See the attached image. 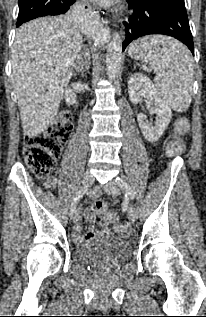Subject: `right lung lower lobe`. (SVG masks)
<instances>
[{
    "label": "right lung lower lobe",
    "instance_id": "98d812e1",
    "mask_svg": "<svg viewBox=\"0 0 206 317\" xmlns=\"http://www.w3.org/2000/svg\"><path fill=\"white\" fill-rule=\"evenodd\" d=\"M75 1L76 0H60L59 4L56 6V9L60 12V14H63L69 10L70 6Z\"/></svg>",
    "mask_w": 206,
    "mask_h": 317
}]
</instances>
